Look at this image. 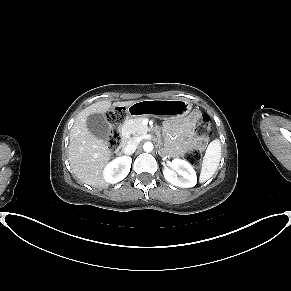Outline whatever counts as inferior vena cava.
<instances>
[{"label": "inferior vena cava", "mask_w": 291, "mask_h": 291, "mask_svg": "<svg viewBox=\"0 0 291 291\" xmlns=\"http://www.w3.org/2000/svg\"><path fill=\"white\" fill-rule=\"evenodd\" d=\"M138 146V142L134 139H131L127 142V145L123 149L124 154L132 155Z\"/></svg>", "instance_id": "1"}]
</instances>
